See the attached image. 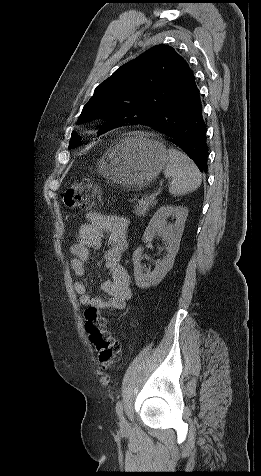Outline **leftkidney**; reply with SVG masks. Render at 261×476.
Here are the masks:
<instances>
[{"mask_svg": "<svg viewBox=\"0 0 261 476\" xmlns=\"http://www.w3.org/2000/svg\"><path fill=\"white\" fill-rule=\"evenodd\" d=\"M188 216V209L182 206H162L151 218L143 235V242L148 243L158 235L167 244V255L156 261L155 268L144 272L142 267L143 247H138L133 253L134 278L139 288H148L159 284L165 275L173 267L176 254L178 253L184 224ZM169 217L175 218L174 224H168Z\"/></svg>", "mask_w": 261, "mask_h": 476, "instance_id": "left-kidney-1", "label": "left kidney"}]
</instances>
